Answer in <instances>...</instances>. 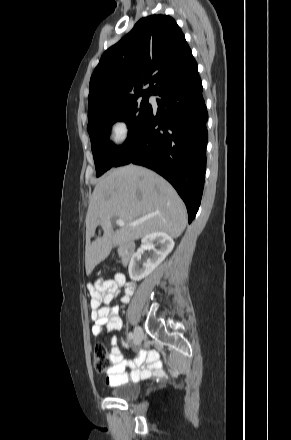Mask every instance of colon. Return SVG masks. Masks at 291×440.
<instances>
[{"label": "colon", "instance_id": "5ec220e1", "mask_svg": "<svg viewBox=\"0 0 291 440\" xmlns=\"http://www.w3.org/2000/svg\"><path fill=\"white\" fill-rule=\"evenodd\" d=\"M93 362L97 371L106 373L109 368V356L105 345L98 343L94 346Z\"/></svg>", "mask_w": 291, "mask_h": 440}]
</instances>
